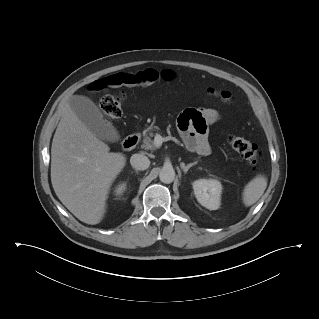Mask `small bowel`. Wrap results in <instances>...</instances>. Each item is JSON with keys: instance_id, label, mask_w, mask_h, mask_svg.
Segmentation results:
<instances>
[{"instance_id": "small-bowel-1", "label": "small bowel", "mask_w": 319, "mask_h": 319, "mask_svg": "<svg viewBox=\"0 0 319 319\" xmlns=\"http://www.w3.org/2000/svg\"><path fill=\"white\" fill-rule=\"evenodd\" d=\"M174 73L164 71L160 74L154 69H145L136 75L116 74L98 80L90 85L94 91H100L106 87H116L121 84L128 86L149 87L157 80L170 81L174 79ZM220 118L219 113L211 108L185 109L178 119V129L185 146L201 156H207L211 152L208 142V127Z\"/></svg>"}]
</instances>
